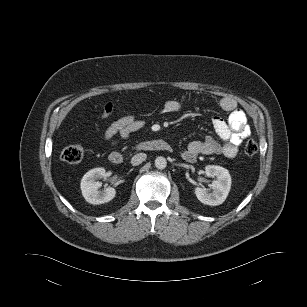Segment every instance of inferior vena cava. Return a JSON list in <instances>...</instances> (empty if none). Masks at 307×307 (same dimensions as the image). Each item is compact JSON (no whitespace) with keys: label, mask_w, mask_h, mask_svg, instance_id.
Masks as SVG:
<instances>
[{"label":"inferior vena cava","mask_w":307,"mask_h":307,"mask_svg":"<svg viewBox=\"0 0 307 307\" xmlns=\"http://www.w3.org/2000/svg\"><path fill=\"white\" fill-rule=\"evenodd\" d=\"M146 157L147 155L145 153H138L132 157L131 164L133 166H137L141 164L146 159Z\"/></svg>","instance_id":"1"}]
</instances>
